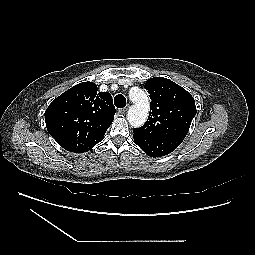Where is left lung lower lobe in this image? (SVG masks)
Wrapping results in <instances>:
<instances>
[{
  "label": "left lung lower lobe",
  "instance_id": "left-lung-lower-lobe-1",
  "mask_svg": "<svg viewBox=\"0 0 255 255\" xmlns=\"http://www.w3.org/2000/svg\"><path fill=\"white\" fill-rule=\"evenodd\" d=\"M134 142L150 157H162L174 151L183 139L174 137H141L133 135Z\"/></svg>",
  "mask_w": 255,
  "mask_h": 255
}]
</instances>
